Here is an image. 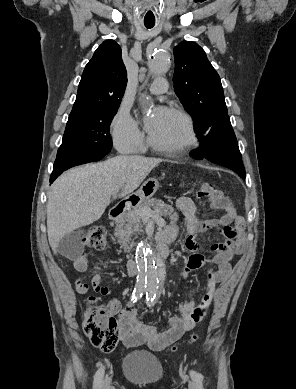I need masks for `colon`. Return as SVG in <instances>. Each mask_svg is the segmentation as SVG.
<instances>
[{
	"label": "colon",
	"mask_w": 296,
	"mask_h": 389,
	"mask_svg": "<svg viewBox=\"0 0 296 389\" xmlns=\"http://www.w3.org/2000/svg\"><path fill=\"white\" fill-rule=\"evenodd\" d=\"M197 198L203 203L211 201L221 202L224 197L220 194L218 189L210 184L203 183L198 192ZM81 242L84 246L104 249L107 246V238L105 230L101 226L91 227L81 237ZM94 298H91L93 300ZM205 313H194L192 318L195 322L203 319ZM83 328L86 336L91 344L104 352L112 351L118 343L120 338V325L107 308L105 307H89L84 312ZM197 340V335H193L190 342ZM177 348L174 347L175 351Z\"/></svg>",
	"instance_id": "colon-1"
}]
</instances>
